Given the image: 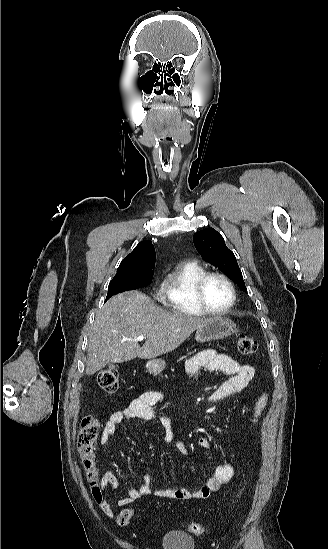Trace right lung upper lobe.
Instances as JSON below:
<instances>
[{
    "label": "right lung upper lobe",
    "instance_id": "1",
    "mask_svg": "<svg viewBox=\"0 0 328 549\" xmlns=\"http://www.w3.org/2000/svg\"><path fill=\"white\" fill-rule=\"evenodd\" d=\"M144 262H155V249L151 241H141L120 263L117 271L133 267Z\"/></svg>",
    "mask_w": 328,
    "mask_h": 549
}]
</instances>
